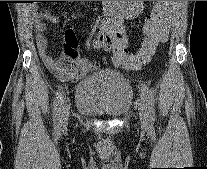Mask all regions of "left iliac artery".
<instances>
[{
  "mask_svg": "<svg viewBox=\"0 0 207 169\" xmlns=\"http://www.w3.org/2000/svg\"><path fill=\"white\" fill-rule=\"evenodd\" d=\"M141 89L149 121L153 122L155 120L154 93L145 84H142Z\"/></svg>",
  "mask_w": 207,
  "mask_h": 169,
  "instance_id": "left-iliac-artery-1",
  "label": "left iliac artery"
}]
</instances>
